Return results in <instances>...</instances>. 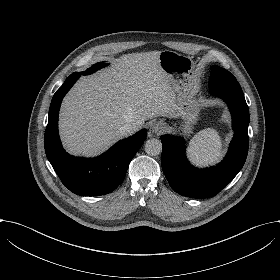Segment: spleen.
Instances as JSON below:
<instances>
[{"mask_svg":"<svg viewBox=\"0 0 280 280\" xmlns=\"http://www.w3.org/2000/svg\"><path fill=\"white\" fill-rule=\"evenodd\" d=\"M224 142L219 130L212 126L203 129L185 149L190 165L197 169L215 166L224 158Z\"/></svg>","mask_w":280,"mask_h":280,"instance_id":"3e777b00","label":"spleen"}]
</instances>
